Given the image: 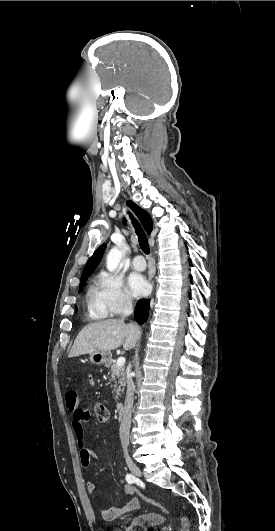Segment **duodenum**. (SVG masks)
Returning a JSON list of instances; mask_svg holds the SVG:
<instances>
[{
  "instance_id": "duodenum-1",
  "label": "duodenum",
  "mask_w": 275,
  "mask_h": 531,
  "mask_svg": "<svg viewBox=\"0 0 275 531\" xmlns=\"http://www.w3.org/2000/svg\"><path fill=\"white\" fill-rule=\"evenodd\" d=\"M116 409H117L118 417L122 419L125 415V404L124 403L118 404Z\"/></svg>"
}]
</instances>
